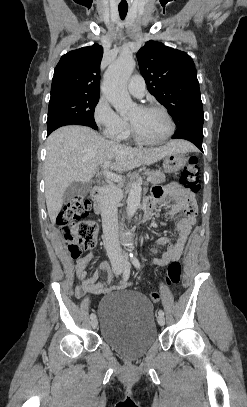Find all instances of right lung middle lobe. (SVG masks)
Segmentation results:
<instances>
[{"instance_id":"1","label":"right lung middle lobe","mask_w":247,"mask_h":407,"mask_svg":"<svg viewBox=\"0 0 247 407\" xmlns=\"http://www.w3.org/2000/svg\"><path fill=\"white\" fill-rule=\"evenodd\" d=\"M99 97V94L69 92L51 95L47 130L67 123L83 124L97 129L94 110Z\"/></svg>"}]
</instances>
